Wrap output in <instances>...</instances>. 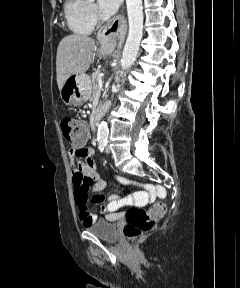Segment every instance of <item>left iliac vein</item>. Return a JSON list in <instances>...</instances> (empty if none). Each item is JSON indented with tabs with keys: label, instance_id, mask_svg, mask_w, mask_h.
I'll list each match as a JSON object with an SVG mask.
<instances>
[{
	"label": "left iliac vein",
	"instance_id": "obj_1",
	"mask_svg": "<svg viewBox=\"0 0 240 288\" xmlns=\"http://www.w3.org/2000/svg\"><path fill=\"white\" fill-rule=\"evenodd\" d=\"M105 152H106L107 154L110 153V148H109V146H106V148H105Z\"/></svg>",
	"mask_w": 240,
	"mask_h": 288
}]
</instances>
